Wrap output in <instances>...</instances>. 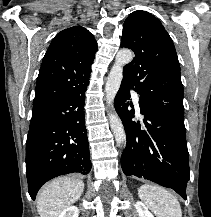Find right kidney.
I'll use <instances>...</instances> for the list:
<instances>
[{
  "label": "right kidney",
  "instance_id": "ca27d5eb",
  "mask_svg": "<svg viewBox=\"0 0 211 217\" xmlns=\"http://www.w3.org/2000/svg\"><path fill=\"white\" fill-rule=\"evenodd\" d=\"M79 209L76 206H69L63 210L58 217H78Z\"/></svg>",
  "mask_w": 211,
  "mask_h": 217
}]
</instances>
